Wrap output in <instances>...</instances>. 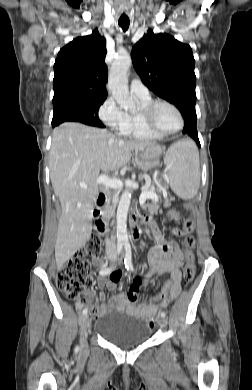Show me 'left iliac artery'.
Here are the masks:
<instances>
[{
  "label": "left iliac artery",
  "instance_id": "44dca946",
  "mask_svg": "<svg viewBox=\"0 0 252 390\" xmlns=\"http://www.w3.org/2000/svg\"><path fill=\"white\" fill-rule=\"evenodd\" d=\"M124 247H125V258H124V263H125V267L127 268V270H130V271H133L134 270V267H133V264H132V253H131V246H130V243H125L124 244ZM161 317H165V312H161L160 313Z\"/></svg>",
  "mask_w": 252,
  "mask_h": 390
}]
</instances>
